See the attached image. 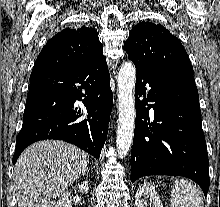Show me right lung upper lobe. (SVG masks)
<instances>
[{"instance_id":"1","label":"right lung upper lobe","mask_w":220,"mask_h":207,"mask_svg":"<svg viewBox=\"0 0 220 207\" xmlns=\"http://www.w3.org/2000/svg\"><path fill=\"white\" fill-rule=\"evenodd\" d=\"M103 46L95 29L83 25L66 28L52 37L41 50L33 70H73L103 56Z\"/></svg>"}]
</instances>
